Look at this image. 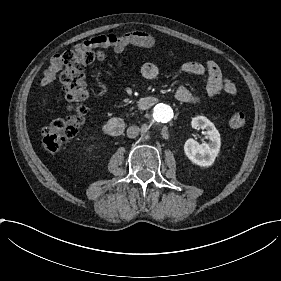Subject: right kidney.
Listing matches in <instances>:
<instances>
[{"instance_id":"right-kidney-1","label":"right kidney","mask_w":281,"mask_h":281,"mask_svg":"<svg viewBox=\"0 0 281 281\" xmlns=\"http://www.w3.org/2000/svg\"><path fill=\"white\" fill-rule=\"evenodd\" d=\"M93 150H94V145H89V146L86 147V153L87 154L92 153Z\"/></svg>"}]
</instances>
